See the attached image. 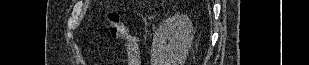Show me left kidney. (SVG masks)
<instances>
[{
	"label": "left kidney",
	"mask_w": 309,
	"mask_h": 65,
	"mask_svg": "<svg viewBox=\"0 0 309 65\" xmlns=\"http://www.w3.org/2000/svg\"><path fill=\"white\" fill-rule=\"evenodd\" d=\"M192 21L185 15H174L155 31L151 65H184L193 39Z\"/></svg>",
	"instance_id": "left-kidney-1"
}]
</instances>
